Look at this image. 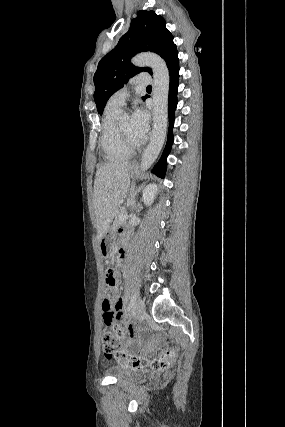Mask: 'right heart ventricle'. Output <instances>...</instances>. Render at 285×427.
<instances>
[{
    "label": "right heart ventricle",
    "instance_id": "right-heart-ventricle-1",
    "mask_svg": "<svg viewBox=\"0 0 285 427\" xmlns=\"http://www.w3.org/2000/svg\"><path fill=\"white\" fill-rule=\"evenodd\" d=\"M122 108L108 103L105 107L102 129H101V147L105 157L112 162L128 160L133 150L127 148L122 143L116 129V121Z\"/></svg>",
    "mask_w": 285,
    "mask_h": 427
}]
</instances>
